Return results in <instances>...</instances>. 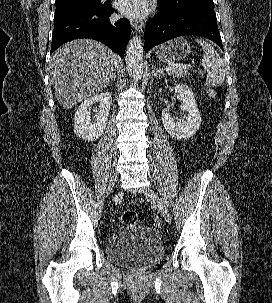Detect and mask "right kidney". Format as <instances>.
Wrapping results in <instances>:
<instances>
[{
	"instance_id": "right-kidney-1",
	"label": "right kidney",
	"mask_w": 272,
	"mask_h": 303,
	"mask_svg": "<svg viewBox=\"0 0 272 303\" xmlns=\"http://www.w3.org/2000/svg\"><path fill=\"white\" fill-rule=\"evenodd\" d=\"M99 102V112L91 119L89 107ZM112 104L110 92H103L84 100L78 107L74 117V133L81 139L94 141L104 132Z\"/></svg>"
}]
</instances>
